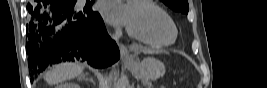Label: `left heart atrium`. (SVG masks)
Here are the masks:
<instances>
[{"instance_id":"obj_1","label":"left heart atrium","mask_w":267,"mask_h":88,"mask_svg":"<svg viewBox=\"0 0 267 88\" xmlns=\"http://www.w3.org/2000/svg\"><path fill=\"white\" fill-rule=\"evenodd\" d=\"M100 12L106 21L113 25H127L130 20L129 5L119 1L106 0L99 5Z\"/></svg>"}]
</instances>
